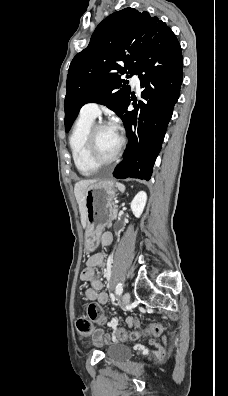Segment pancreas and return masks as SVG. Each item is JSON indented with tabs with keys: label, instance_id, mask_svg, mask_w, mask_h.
Wrapping results in <instances>:
<instances>
[{
	"label": "pancreas",
	"instance_id": "obj_1",
	"mask_svg": "<svg viewBox=\"0 0 228 396\" xmlns=\"http://www.w3.org/2000/svg\"><path fill=\"white\" fill-rule=\"evenodd\" d=\"M112 209H113V215L111 216V219H112V220H110V222H107V223H106V226H107V227H110V226H111V223H113V220H116V219H117V216H116V213H117V205L113 204Z\"/></svg>",
	"mask_w": 228,
	"mask_h": 396
}]
</instances>
